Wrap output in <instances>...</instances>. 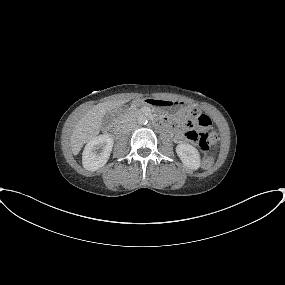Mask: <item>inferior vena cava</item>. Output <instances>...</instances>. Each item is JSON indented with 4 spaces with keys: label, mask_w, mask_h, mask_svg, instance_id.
Instances as JSON below:
<instances>
[{
    "label": "inferior vena cava",
    "mask_w": 285,
    "mask_h": 285,
    "mask_svg": "<svg viewBox=\"0 0 285 285\" xmlns=\"http://www.w3.org/2000/svg\"><path fill=\"white\" fill-rule=\"evenodd\" d=\"M137 127V123L136 122H130V123H127L123 126V132L124 133H127V132H130L132 131L133 129H135Z\"/></svg>",
    "instance_id": "obj_1"
}]
</instances>
